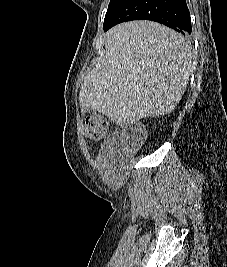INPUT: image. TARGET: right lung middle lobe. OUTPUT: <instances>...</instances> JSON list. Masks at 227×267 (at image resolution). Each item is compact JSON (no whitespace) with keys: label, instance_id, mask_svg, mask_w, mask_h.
<instances>
[{"label":"right lung middle lobe","instance_id":"obj_1","mask_svg":"<svg viewBox=\"0 0 227 267\" xmlns=\"http://www.w3.org/2000/svg\"><path fill=\"white\" fill-rule=\"evenodd\" d=\"M126 1L127 0H110L107 13L104 19V26H106L108 23L111 22V20L114 18L116 13L119 11V9L123 6V4Z\"/></svg>","mask_w":227,"mask_h":267}]
</instances>
